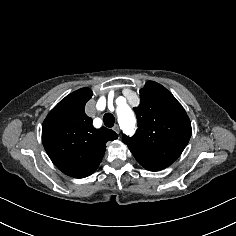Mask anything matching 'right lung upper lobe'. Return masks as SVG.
Listing matches in <instances>:
<instances>
[{
  "mask_svg": "<svg viewBox=\"0 0 236 236\" xmlns=\"http://www.w3.org/2000/svg\"><path fill=\"white\" fill-rule=\"evenodd\" d=\"M92 97L89 88L66 96L47 115L42 127V142L52 162L64 174L75 178L91 175L99 166L107 141L117 134L105 127L95 129L85 114Z\"/></svg>",
  "mask_w": 236,
  "mask_h": 236,
  "instance_id": "obj_1",
  "label": "right lung upper lobe"
}]
</instances>
